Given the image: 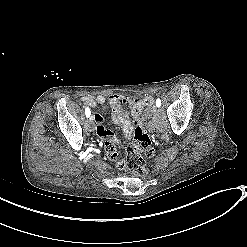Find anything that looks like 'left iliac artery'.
I'll return each instance as SVG.
<instances>
[{
    "label": "left iliac artery",
    "mask_w": 247,
    "mask_h": 247,
    "mask_svg": "<svg viewBox=\"0 0 247 247\" xmlns=\"http://www.w3.org/2000/svg\"><path fill=\"white\" fill-rule=\"evenodd\" d=\"M156 106H157V107H160V106H161V100H160V99H157V100H156Z\"/></svg>",
    "instance_id": "obj_1"
}]
</instances>
